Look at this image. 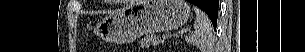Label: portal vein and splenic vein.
I'll use <instances>...</instances> for the list:
<instances>
[{
    "instance_id": "18ae733b",
    "label": "portal vein and splenic vein",
    "mask_w": 305,
    "mask_h": 52,
    "mask_svg": "<svg viewBox=\"0 0 305 52\" xmlns=\"http://www.w3.org/2000/svg\"><path fill=\"white\" fill-rule=\"evenodd\" d=\"M184 31L185 32H191V29H185Z\"/></svg>"
}]
</instances>
